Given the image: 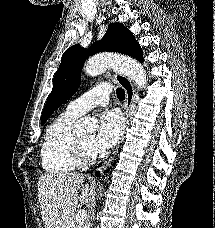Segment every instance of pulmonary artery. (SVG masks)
Masks as SVG:
<instances>
[{
	"mask_svg": "<svg viewBox=\"0 0 215 228\" xmlns=\"http://www.w3.org/2000/svg\"><path fill=\"white\" fill-rule=\"evenodd\" d=\"M114 88V84H97V87L71 101L67 105V111L79 116L95 106H105L108 104L109 93Z\"/></svg>",
	"mask_w": 215,
	"mask_h": 228,
	"instance_id": "1",
	"label": "pulmonary artery"
}]
</instances>
